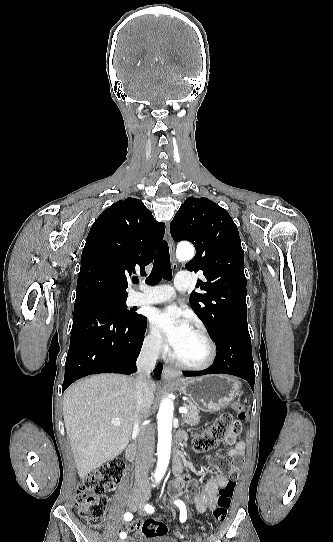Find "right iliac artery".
<instances>
[{
  "label": "right iliac artery",
  "mask_w": 333,
  "mask_h": 542,
  "mask_svg": "<svg viewBox=\"0 0 333 542\" xmlns=\"http://www.w3.org/2000/svg\"><path fill=\"white\" fill-rule=\"evenodd\" d=\"M132 518H133V515H132L131 513L127 512V513L124 514V519H125L126 521H130V520H132ZM126 536H127V535H126L125 532H121V533H120V537H121V538H126Z\"/></svg>",
  "instance_id": "obj_1"
}]
</instances>
